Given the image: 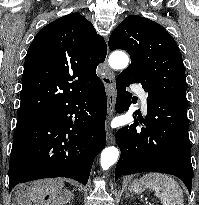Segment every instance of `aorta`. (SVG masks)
Here are the masks:
<instances>
[{
  "mask_svg": "<svg viewBox=\"0 0 199 205\" xmlns=\"http://www.w3.org/2000/svg\"><path fill=\"white\" fill-rule=\"evenodd\" d=\"M109 65L113 69H124L128 66L129 58L122 51H115L109 57ZM119 157L118 148L111 146L105 148L101 153L100 164L103 170H108Z\"/></svg>",
  "mask_w": 199,
  "mask_h": 205,
  "instance_id": "762f6f07",
  "label": "aorta"
}]
</instances>
